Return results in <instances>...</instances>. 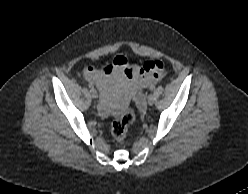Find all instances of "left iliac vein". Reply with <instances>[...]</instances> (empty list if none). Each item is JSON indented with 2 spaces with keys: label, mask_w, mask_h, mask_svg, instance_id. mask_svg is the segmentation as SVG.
Masks as SVG:
<instances>
[{
  "label": "left iliac vein",
  "mask_w": 248,
  "mask_h": 194,
  "mask_svg": "<svg viewBox=\"0 0 248 194\" xmlns=\"http://www.w3.org/2000/svg\"><path fill=\"white\" fill-rule=\"evenodd\" d=\"M155 100H156V97H155L153 94H150V95L148 96V104H149V105H153L154 102H155Z\"/></svg>",
  "instance_id": "4c4485c4"
}]
</instances>
